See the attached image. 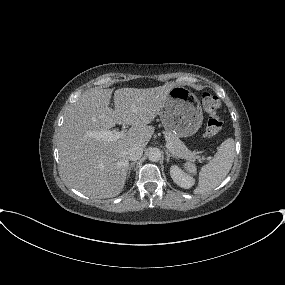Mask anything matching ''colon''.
<instances>
[{
    "instance_id": "1",
    "label": "colon",
    "mask_w": 285,
    "mask_h": 285,
    "mask_svg": "<svg viewBox=\"0 0 285 285\" xmlns=\"http://www.w3.org/2000/svg\"><path fill=\"white\" fill-rule=\"evenodd\" d=\"M202 105L207 113V121L204 131L205 138H213L216 136L221 127H222V120L219 115V108L221 106V101L219 97L216 95L205 92L202 94L201 97Z\"/></svg>"
}]
</instances>
